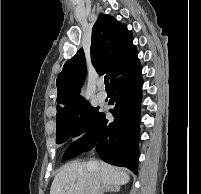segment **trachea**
<instances>
[{
    "mask_svg": "<svg viewBox=\"0 0 201 194\" xmlns=\"http://www.w3.org/2000/svg\"><path fill=\"white\" fill-rule=\"evenodd\" d=\"M104 83H105L106 89H110V83H109V76L108 75H106L104 77Z\"/></svg>",
    "mask_w": 201,
    "mask_h": 194,
    "instance_id": "3493384b",
    "label": "trachea"
}]
</instances>
